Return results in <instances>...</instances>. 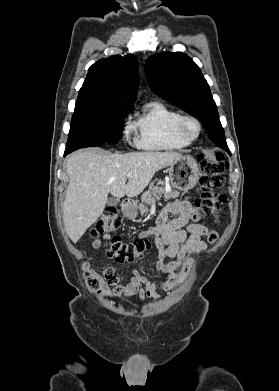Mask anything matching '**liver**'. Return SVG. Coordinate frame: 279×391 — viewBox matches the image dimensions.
Returning <instances> with one entry per match:
<instances>
[{
  "mask_svg": "<svg viewBox=\"0 0 279 391\" xmlns=\"http://www.w3.org/2000/svg\"><path fill=\"white\" fill-rule=\"evenodd\" d=\"M182 157L178 152L108 154L96 150L74 153L67 160L69 185L63 204L65 230L76 243L103 213L108 194L135 197L154 174ZM131 173L126 184L127 174Z\"/></svg>",
  "mask_w": 279,
  "mask_h": 391,
  "instance_id": "liver-1",
  "label": "liver"
}]
</instances>
